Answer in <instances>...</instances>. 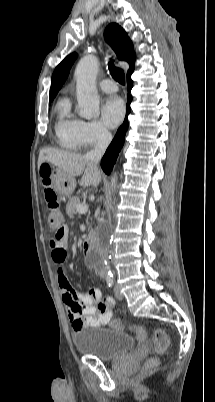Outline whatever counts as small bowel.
<instances>
[{"instance_id":"small-bowel-1","label":"small bowel","mask_w":215,"mask_h":402,"mask_svg":"<svg viewBox=\"0 0 215 402\" xmlns=\"http://www.w3.org/2000/svg\"><path fill=\"white\" fill-rule=\"evenodd\" d=\"M67 246L68 230L62 226L57 230L55 238L50 241L51 258L57 265V282L73 330L108 324L115 303L113 298H102L98 288H90L87 292L73 289L62 268L67 258Z\"/></svg>"}]
</instances>
